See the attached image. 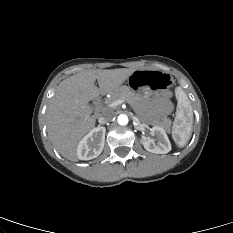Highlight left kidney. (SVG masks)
I'll use <instances>...</instances> for the list:
<instances>
[{
    "mask_svg": "<svg viewBox=\"0 0 233 233\" xmlns=\"http://www.w3.org/2000/svg\"><path fill=\"white\" fill-rule=\"evenodd\" d=\"M151 134L156 137L157 143H155V140L146 137L141 140L147 151L155 154H166L171 151V143L163 127H152Z\"/></svg>",
    "mask_w": 233,
    "mask_h": 233,
    "instance_id": "obj_1",
    "label": "left kidney"
}]
</instances>
